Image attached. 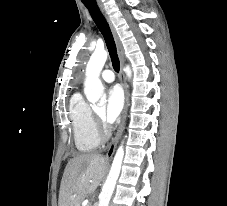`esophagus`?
<instances>
[{"label":"esophagus","mask_w":227,"mask_h":206,"mask_svg":"<svg viewBox=\"0 0 227 206\" xmlns=\"http://www.w3.org/2000/svg\"><path fill=\"white\" fill-rule=\"evenodd\" d=\"M98 6H99L102 14L104 15L105 19L107 20V22L109 24V27L111 29V32L113 34V37H114V40H115V43H116L117 52H118L119 61H120V80H121V83H122V86H123V89H124V99H125V104H124V108H123L122 115H121V123H120L119 128L117 130V133H116L114 139L112 140V142L110 143L109 148H108L107 153H106V159L109 160V159L112 158V156L115 152L116 146H117L118 141L121 137L123 127H124V123H125V116H126V111H127V87H126V83H125V79H124V73H123L124 51H123L122 44L120 42V39L117 35V32H116L114 26H113L108 14H107L105 8H104V5L100 0H98Z\"/></svg>","instance_id":"esophagus-1"}]
</instances>
